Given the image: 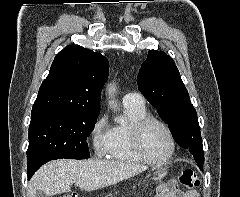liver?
Here are the masks:
<instances>
[{"instance_id":"obj_1","label":"liver","mask_w":240,"mask_h":197,"mask_svg":"<svg viewBox=\"0 0 240 197\" xmlns=\"http://www.w3.org/2000/svg\"><path fill=\"white\" fill-rule=\"evenodd\" d=\"M147 166L107 160H54L44 164L28 185V196L35 197L38 190L47 196L71 191L75 184L82 190L93 191L135 176Z\"/></svg>"}]
</instances>
